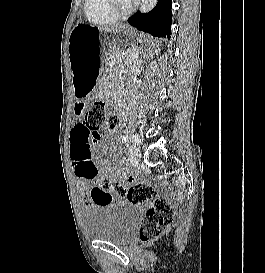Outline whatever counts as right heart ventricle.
I'll return each instance as SVG.
<instances>
[{
    "instance_id": "1",
    "label": "right heart ventricle",
    "mask_w": 265,
    "mask_h": 273,
    "mask_svg": "<svg viewBox=\"0 0 265 273\" xmlns=\"http://www.w3.org/2000/svg\"><path fill=\"white\" fill-rule=\"evenodd\" d=\"M84 13L86 19L95 25L112 24L118 20L108 9L106 0H85Z\"/></svg>"
}]
</instances>
